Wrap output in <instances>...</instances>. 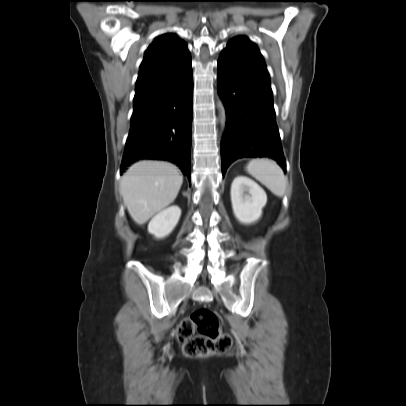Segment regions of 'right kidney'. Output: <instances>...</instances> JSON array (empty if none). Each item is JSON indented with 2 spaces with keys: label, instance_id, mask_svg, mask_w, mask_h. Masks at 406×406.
I'll list each match as a JSON object with an SVG mask.
<instances>
[{
  "label": "right kidney",
  "instance_id": "ca27d5eb",
  "mask_svg": "<svg viewBox=\"0 0 406 406\" xmlns=\"http://www.w3.org/2000/svg\"><path fill=\"white\" fill-rule=\"evenodd\" d=\"M181 216L178 206H170L155 215L148 224V232L156 238L168 236L176 227Z\"/></svg>",
  "mask_w": 406,
  "mask_h": 406
}]
</instances>
